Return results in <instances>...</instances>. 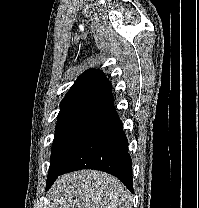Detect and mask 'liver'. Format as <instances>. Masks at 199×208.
Returning a JSON list of instances; mask_svg holds the SVG:
<instances>
[{
  "label": "liver",
  "instance_id": "obj_1",
  "mask_svg": "<svg viewBox=\"0 0 199 208\" xmlns=\"http://www.w3.org/2000/svg\"><path fill=\"white\" fill-rule=\"evenodd\" d=\"M50 208H131V195L114 176L80 170L59 177L48 191Z\"/></svg>",
  "mask_w": 199,
  "mask_h": 208
}]
</instances>
